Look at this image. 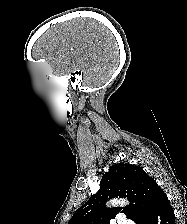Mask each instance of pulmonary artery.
I'll return each instance as SVG.
<instances>
[{
	"label": "pulmonary artery",
	"mask_w": 187,
	"mask_h": 224,
	"mask_svg": "<svg viewBox=\"0 0 187 224\" xmlns=\"http://www.w3.org/2000/svg\"><path fill=\"white\" fill-rule=\"evenodd\" d=\"M118 223L119 224H135L134 221L129 219H123V218L119 219Z\"/></svg>",
	"instance_id": "pulmonary-artery-1"
}]
</instances>
